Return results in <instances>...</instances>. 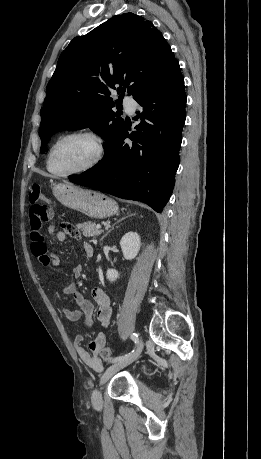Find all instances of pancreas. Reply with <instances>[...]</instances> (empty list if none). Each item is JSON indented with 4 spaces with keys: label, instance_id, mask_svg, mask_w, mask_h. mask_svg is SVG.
<instances>
[{
    "label": "pancreas",
    "instance_id": "cf45deb5",
    "mask_svg": "<svg viewBox=\"0 0 261 459\" xmlns=\"http://www.w3.org/2000/svg\"><path fill=\"white\" fill-rule=\"evenodd\" d=\"M77 227L82 230L85 237H96L100 235L103 231L97 228L95 222H85L83 224H78Z\"/></svg>",
    "mask_w": 261,
    "mask_h": 459
}]
</instances>
